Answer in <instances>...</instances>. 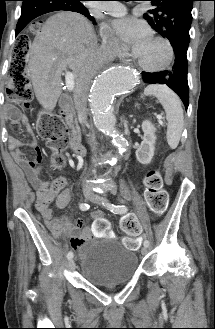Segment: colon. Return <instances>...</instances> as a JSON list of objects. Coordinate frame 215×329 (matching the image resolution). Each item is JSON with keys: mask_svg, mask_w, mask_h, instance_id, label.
Segmentation results:
<instances>
[{"mask_svg": "<svg viewBox=\"0 0 215 329\" xmlns=\"http://www.w3.org/2000/svg\"><path fill=\"white\" fill-rule=\"evenodd\" d=\"M38 23L41 25L43 22L40 20ZM34 29L37 31L39 28L36 26ZM29 44H34V37L25 35L15 37L8 80L9 102H6V109H23L29 106L31 90L25 75V60ZM37 128L41 137L55 150L52 156L53 166L61 168L65 163L61 152L67 146L69 140L62 118L53 112H42L38 119ZM145 186V199L149 208L154 212V216L167 217V193L163 189L162 177L156 169L147 172ZM44 199H46V196H44ZM121 227L126 234L124 244L129 248H136L139 242L137 236L141 232V226L137 218L133 215L125 217L122 220Z\"/></svg>", "mask_w": 215, "mask_h": 329, "instance_id": "obj_1", "label": "colon"}]
</instances>
